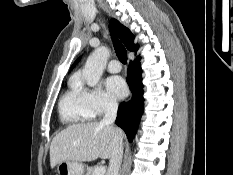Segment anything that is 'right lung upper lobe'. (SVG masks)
I'll return each mask as SVG.
<instances>
[{
	"mask_svg": "<svg viewBox=\"0 0 233 175\" xmlns=\"http://www.w3.org/2000/svg\"><path fill=\"white\" fill-rule=\"evenodd\" d=\"M110 29L119 36V38L129 51H134L135 53L137 52L138 44H134V35L130 32L128 28H126L119 21L113 18L110 20ZM79 60L80 58L72 65L71 69L74 68Z\"/></svg>",
	"mask_w": 233,
	"mask_h": 175,
	"instance_id": "cb5924a9",
	"label": "right lung upper lobe"
}]
</instances>
